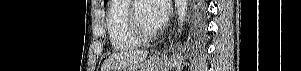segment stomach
<instances>
[{"mask_svg": "<svg viewBox=\"0 0 301 71\" xmlns=\"http://www.w3.org/2000/svg\"><path fill=\"white\" fill-rule=\"evenodd\" d=\"M118 71H167V59L153 55L141 64L125 67Z\"/></svg>", "mask_w": 301, "mask_h": 71, "instance_id": "1", "label": "stomach"}]
</instances>
